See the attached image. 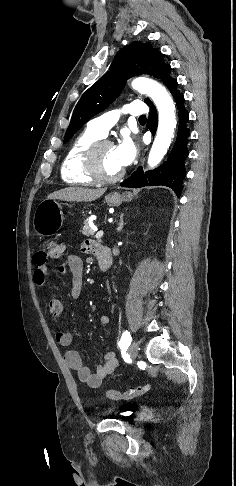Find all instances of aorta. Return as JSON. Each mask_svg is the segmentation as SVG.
Returning a JSON list of instances; mask_svg holds the SVG:
<instances>
[{
	"label": "aorta",
	"instance_id": "762f6f07",
	"mask_svg": "<svg viewBox=\"0 0 236 486\" xmlns=\"http://www.w3.org/2000/svg\"><path fill=\"white\" fill-rule=\"evenodd\" d=\"M132 87L147 94L154 101L159 112L158 129L148 156V165L155 167L161 162L171 143L176 127L175 105L167 90L152 79H135Z\"/></svg>",
	"mask_w": 236,
	"mask_h": 486
}]
</instances>
